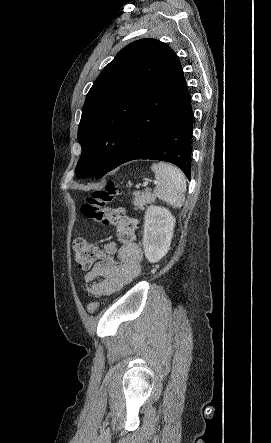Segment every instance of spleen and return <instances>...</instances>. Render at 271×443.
<instances>
[{
    "label": "spleen",
    "mask_w": 271,
    "mask_h": 443,
    "mask_svg": "<svg viewBox=\"0 0 271 443\" xmlns=\"http://www.w3.org/2000/svg\"><path fill=\"white\" fill-rule=\"evenodd\" d=\"M152 172L156 178V188L154 194L159 200L167 202L174 208H182L185 202L186 182L181 170H177L170 164H153Z\"/></svg>",
    "instance_id": "1"
}]
</instances>
